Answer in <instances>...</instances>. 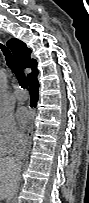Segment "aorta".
Wrapping results in <instances>:
<instances>
[{
    "mask_svg": "<svg viewBox=\"0 0 89 203\" xmlns=\"http://www.w3.org/2000/svg\"><path fill=\"white\" fill-rule=\"evenodd\" d=\"M6 99H7L6 95L3 94V95H2V100H3L4 102H6Z\"/></svg>",
    "mask_w": 89,
    "mask_h": 203,
    "instance_id": "aorta-1",
    "label": "aorta"
}]
</instances>
